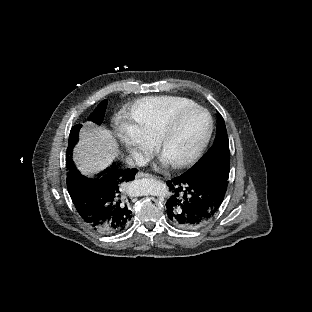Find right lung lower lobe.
I'll use <instances>...</instances> for the list:
<instances>
[{
	"mask_svg": "<svg viewBox=\"0 0 312 312\" xmlns=\"http://www.w3.org/2000/svg\"><path fill=\"white\" fill-rule=\"evenodd\" d=\"M67 188L82 220L104 235L122 232L133 215L126 189L137 169H121L115 163L102 174L88 178L81 175L72 160L66 163Z\"/></svg>",
	"mask_w": 312,
	"mask_h": 312,
	"instance_id": "98d812e1",
	"label": "right lung lower lobe"
}]
</instances>
